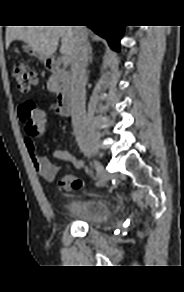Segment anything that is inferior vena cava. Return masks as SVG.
Returning a JSON list of instances; mask_svg holds the SVG:
<instances>
[{
  "instance_id": "1",
  "label": "inferior vena cava",
  "mask_w": 184,
  "mask_h": 292,
  "mask_svg": "<svg viewBox=\"0 0 184 292\" xmlns=\"http://www.w3.org/2000/svg\"><path fill=\"white\" fill-rule=\"evenodd\" d=\"M78 33L77 43L71 57L70 97L72 103V125L79 148L89 150V138L86 121V94L87 82L86 67L88 64L89 43L84 26H76Z\"/></svg>"
}]
</instances>
